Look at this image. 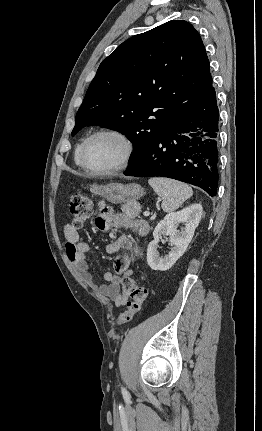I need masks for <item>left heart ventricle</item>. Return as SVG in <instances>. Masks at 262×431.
Listing matches in <instances>:
<instances>
[{
  "label": "left heart ventricle",
  "mask_w": 262,
  "mask_h": 431,
  "mask_svg": "<svg viewBox=\"0 0 262 431\" xmlns=\"http://www.w3.org/2000/svg\"><path fill=\"white\" fill-rule=\"evenodd\" d=\"M123 154V143L114 136L104 135L94 138L89 143L85 161L93 170H108L119 164Z\"/></svg>",
  "instance_id": "b2bd125f"
}]
</instances>
